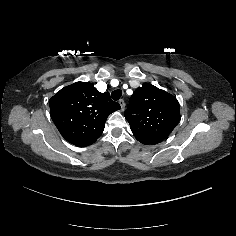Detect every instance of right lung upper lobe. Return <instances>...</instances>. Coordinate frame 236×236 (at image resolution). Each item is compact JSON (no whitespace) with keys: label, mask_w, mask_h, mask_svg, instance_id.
Segmentation results:
<instances>
[{"label":"right lung upper lobe","mask_w":236,"mask_h":236,"mask_svg":"<svg viewBox=\"0 0 236 236\" xmlns=\"http://www.w3.org/2000/svg\"><path fill=\"white\" fill-rule=\"evenodd\" d=\"M50 113L60 134L78 147L89 146L102 134L107 117L120 105L109 93H100L90 82H76L49 100Z\"/></svg>","instance_id":"obj_1"}]
</instances>
